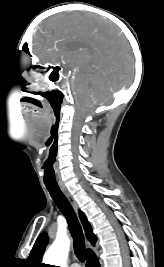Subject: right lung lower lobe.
I'll use <instances>...</instances> for the list:
<instances>
[{"label": "right lung lower lobe", "instance_id": "right-lung-lower-lobe-1", "mask_svg": "<svg viewBox=\"0 0 164 267\" xmlns=\"http://www.w3.org/2000/svg\"><path fill=\"white\" fill-rule=\"evenodd\" d=\"M86 261V267H100L98 259L94 252L87 255Z\"/></svg>", "mask_w": 164, "mask_h": 267}]
</instances>
